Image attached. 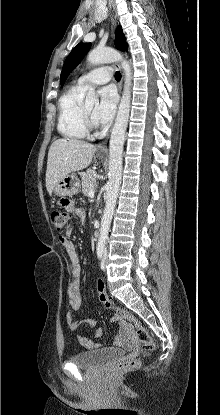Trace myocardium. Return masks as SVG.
I'll return each mask as SVG.
<instances>
[{"mask_svg": "<svg viewBox=\"0 0 220 415\" xmlns=\"http://www.w3.org/2000/svg\"><path fill=\"white\" fill-rule=\"evenodd\" d=\"M82 113H83L84 125H85L87 132L93 131L96 128V124L91 118V116L89 115V113L86 111L85 107H83Z\"/></svg>", "mask_w": 220, "mask_h": 415, "instance_id": "f54148a6", "label": "myocardium"}]
</instances>
